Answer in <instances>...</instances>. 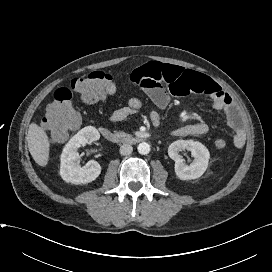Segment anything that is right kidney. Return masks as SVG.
Here are the masks:
<instances>
[{
    "label": "right kidney",
    "instance_id": "1",
    "mask_svg": "<svg viewBox=\"0 0 272 272\" xmlns=\"http://www.w3.org/2000/svg\"><path fill=\"white\" fill-rule=\"evenodd\" d=\"M98 130L92 126L81 129L65 145L61 154L60 175L65 182L72 184H86L94 181L101 173L98 162L91 160L81 167L78 148L99 140Z\"/></svg>",
    "mask_w": 272,
    "mask_h": 272
}]
</instances>
